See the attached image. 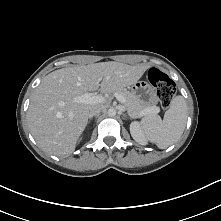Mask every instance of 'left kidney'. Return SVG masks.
<instances>
[{
    "label": "left kidney",
    "mask_w": 221,
    "mask_h": 221,
    "mask_svg": "<svg viewBox=\"0 0 221 221\" xmlns=\"http://www.w3.org/2000/svg\"><path fill=\"white\" fill-rule=\"evenodd\" d=\"M130 133L133 137V139L138 142L141 145H146L147 144V139L145 135L143 134V131L141 129V126L139 122L133 121L130 124Z\"/></svg>",
    "instance_id": "1"
}]
</instances>
